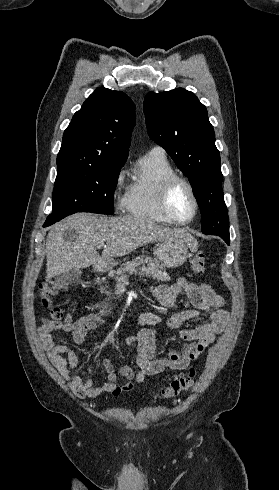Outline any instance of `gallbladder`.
<instances>
[{
    "mask_svg": "<svg viewBox=\"0 0 279 490\" xmlns=\"http://www.w3.org/2000/svg\"><path fill=\"white\" fill-rule=\"evenodd\" d=\"M81 276V270H70V272H64V274L56 276L55 282L56 284H60V286H70V284H74L76 280H80Z\"/></svg>",
    "mask_w": 279,
    "mask_h": 490,
    "instance_id": "bac80fb5",
    "label": "gallbladder"
}]
</instances>
